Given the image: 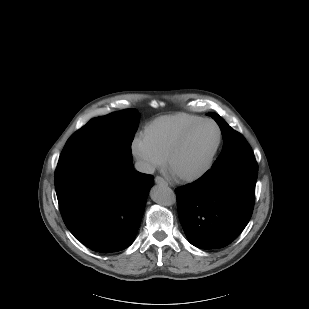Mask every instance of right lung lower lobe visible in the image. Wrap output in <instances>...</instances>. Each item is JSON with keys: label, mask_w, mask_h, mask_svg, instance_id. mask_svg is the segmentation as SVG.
<instances>
[{"label": "right lung lower lobe", "mask_w": 309, "mask_h": 309, "mask_svg": "<svg viewBox=\"0 0 309 309\" xmlns=\"http://www.w3.org/2000/svg\"><path fill=\"white\" fill-rule=\"evenodd\" d=\"M55 180L64 223L82 244L111 253L133 243L153 179L135 171L131 155L95 151Z\"/></svg>", "instance_id": "98d812e1"}]
</instances>
